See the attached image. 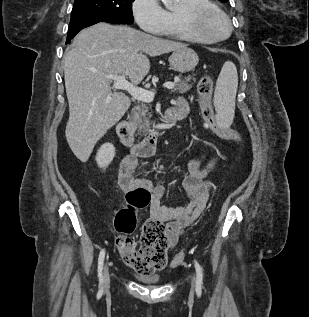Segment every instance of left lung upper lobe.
<instances>
[{
  "mask_svg": "<svg viewBox=\"0 0 309 317\" xmlns=\"http://www.w3.org/2000/svg\"><path fill=\"white\" fill-rule=\"evenodd\" d=\"M219 1H221V2H227V1H229V0H219Z\"/></svg>",
  "mask_w": 309,
  "mask_h": 317,
  "instance_id": "left-lung-upper-lobe-1",
  "label": "left lung upper lobe"
}]
</instances>
